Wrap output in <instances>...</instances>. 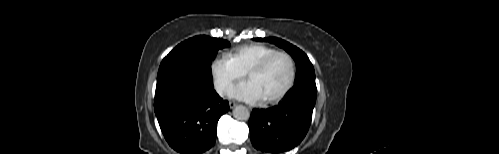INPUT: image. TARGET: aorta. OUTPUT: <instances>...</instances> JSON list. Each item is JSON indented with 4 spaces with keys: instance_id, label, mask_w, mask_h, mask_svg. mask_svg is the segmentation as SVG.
<instances>
[{
    "instance_id": "1",
    "label": "aorta",
    "mask_w": 499,
    "mask_h": 154,
    "mask_svg": "<svg viewBox=\"0 0 499 154\" xmlns=\"http://www.w3.org/2000/svg\"><path fill=\"white\" fill-rule=\"evenodd\" d=\"M233 116L237 120L246 121L250 117V112L245 106L239 105V106L234 108Z\"/></svg>"
}]
</instances>
